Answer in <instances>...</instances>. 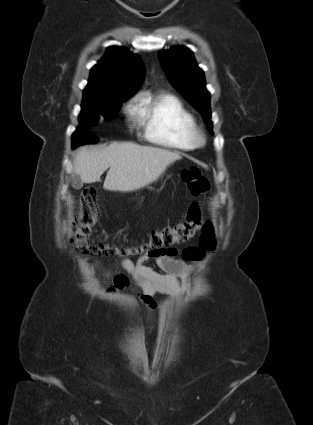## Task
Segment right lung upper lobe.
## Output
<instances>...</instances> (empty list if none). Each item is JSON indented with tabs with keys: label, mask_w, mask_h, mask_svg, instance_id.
Here are the masks:
<instances>
[{
	"label": "right lung upper lobe",
	"mask_w": 313,
	"mask_h": 425,
	"mask_svg": "<svg viewBox=\"0 0 313 425\" xmlns=\"http://www.w3.org/2000/svg\"><path fill=\"white\" fill-rule=\"evenodd\" d=\"M145 67L138 54L127 48L109 47L104 57L90 72L83 102L112 94L132 96L143 82Z\"/></svg>",
	"instance_id": "obj_1"
}]
</instances>
